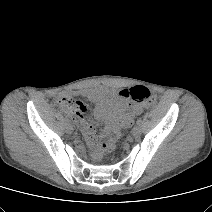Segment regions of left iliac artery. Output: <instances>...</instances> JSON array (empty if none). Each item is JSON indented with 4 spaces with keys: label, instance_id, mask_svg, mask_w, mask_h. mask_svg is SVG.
<instances>
[{
    "label": "left iliac artery",
    "instance_id": "obj_1",
    "mask_svg": "<svg viewBox=\"0 0 212 212\" xmlns=\"http://www.w3.org/2000/svg\"><path fill=\"white\" fill-rule=\"evenodd\" d=\"M136 123H137V125H141L142 119L141 118H138Z\"/></svg>",
    "mask_w": 212,
    "mask_h": 212
}]
</instances>
